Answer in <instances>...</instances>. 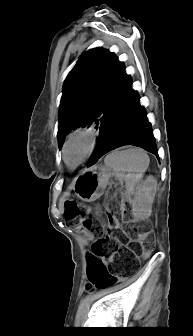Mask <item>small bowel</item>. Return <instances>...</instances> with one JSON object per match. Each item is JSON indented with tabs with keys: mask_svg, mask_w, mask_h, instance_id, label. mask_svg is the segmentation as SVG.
Masks as SVG:
<instances>
[{
	"mask_svg": "<svg viewBox=\"0 0 193 336\" xmlns=\"http://www.w3.org/2000/svg\"><path fill=\"white\" fill-rule=\"evenodd\" d=\"M91 264H92V257L89 256L88 257V261H87V271H88V274H89V271L91 269Z\"/></svg>",
	"mask_w": 193,
	"mask_h": 336,
	"instance_id": "1",
	"label": "small bowel"
}]
</instances>
